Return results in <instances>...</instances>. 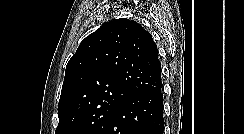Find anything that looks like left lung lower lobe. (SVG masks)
Listing matches in <instances>:
<instances>
[{
  "mask_svg": "<svg viewBox=\"0 0 244 134\" xmlns=\"http://www.w3.org/2000/svg\"><path fill=\"white\" fill-rule=\"evenodd\" d=\"M162 86L127 98L112 115L103 134H163Z\"/></svg>",
  "mask_w": 244,
  "mask_h": 134,
  "instance_id": "0a47b994",
  "label": "left lung lower lobe"
}]
</instances>
